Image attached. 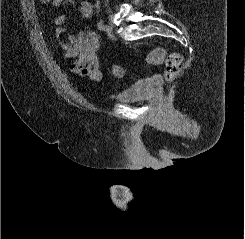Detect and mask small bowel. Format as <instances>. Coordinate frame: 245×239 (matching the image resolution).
<instances>
[{
  "label": "small bowel",
  "instance_id": "obj_1",
  "mask_svg": "<svg viewBox=\"0 0 245 239\" xmlns=\"http://www.w3.org/2000/svg\"><path fill=\"white\" fill-rule=\"evenodd\" d=\"M64 0H51L54 8L59 7ZM79 13L82 18L90 19L93 15V6L88 1H81ZM65 16L58 15L54 18L55 33L58 42L63 49L66 59H76L70 70L74 75L86 77L91 82H101L104 74L100 69V61L97 54L99 40L93 30H85L77 35H72L68 41H62L61 36L65 34Z\"/></svg>",
  "mask_w": 245,
  "mask_h": 239
}]
</instances>
